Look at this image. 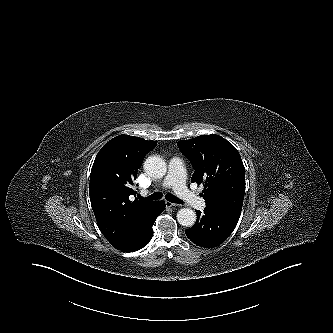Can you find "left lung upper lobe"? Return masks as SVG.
<instances>
[{"label": "left lung upper lobe", "instance_id": "obj_1", "mask_svg": "<svg viewBox=\"0 0 333 333\" xmlns=\"http://www.w3.org/2000/svg\"><path fill=\"white\" fill-rule=\"evenodd\" d=\"M195 172L191 182L204 185L206 207L239 220L245 193V169L237 149L223 137L210 134L178 142Z\"/></svg>", "mask_w": 333, "mask_h": 333}]
</instances>
